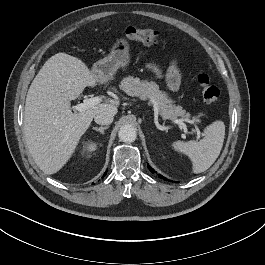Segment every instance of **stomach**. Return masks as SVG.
Here are the masks:
<instances>
[{
    "instance_id": "stomach-1",
    "label": "stomach",
    "mask_w": 265,
    "mask_h": 265,
    "mask_svg": "<svg viewBox=\"0 0 265 265\" xmlns=\"http://www.w3.org/2000/svg\"><path fill=\"white\" fill-rule=\"evenodd\" d=\"M129 51L130 44L126 39L117 40L113 44L110 54L94 63L91 70L92 74L99 82L108 81L120 67H126L129 64Z\"/></svg>"
}]
</instances>
